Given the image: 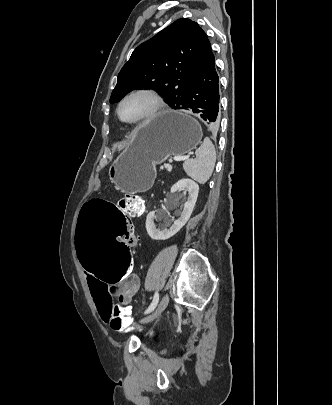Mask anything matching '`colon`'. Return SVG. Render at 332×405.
Instances as JSON below:
<instances>
[{"mask_svg":"<svg viewBox=\"0 0 332 405\" xmlns=\"http://www.w3.org/2000/svg\"><path fill=\"white\" fill-rule=\"evenodd\" d=\"M132 213L144 211L143 200L137 195H127L118 202H107L106 197H89L82 203L79 220H74L76 255L85 275H97L107 287H120L121 281H130L133 275L132 249H136L137 229ZM110 325L115 330L144 329L131 307L112 304L109 311ZM148 334H157V325L147 326Z\"/></svg>","mask_w":332,"mask_h":405,"instance_id":"obj_1","label":"colon"}]
</instances>
